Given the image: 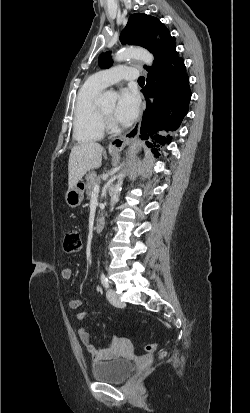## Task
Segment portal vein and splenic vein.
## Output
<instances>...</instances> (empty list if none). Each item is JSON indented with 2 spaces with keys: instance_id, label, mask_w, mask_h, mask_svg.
<instances>
[{
  "instance_id": "portal-vein-and-splenic-vein-1",
  "label": "portal vein and splenic vein",
  "mask_w": 250,
  "mask_h": 413,
  "mask_svg": "<svg viewBox=\"0 0 250 413\" xmlns=\"http://www.w3.org/2000/svg\"><path fill=\"white\" fill-rule=\"evenodd\" d=\"M99 190H100V186H99V185H95L94 188H93V193H94V194H97V193L99 192Z\"/></svg>"
}]
</instances>
